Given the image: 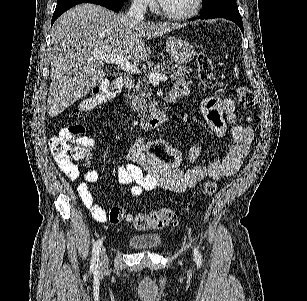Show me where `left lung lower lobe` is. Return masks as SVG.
Wrapping results in <instances>:
<instances>
[{
	"mask_svg": "<svg viewBox=\"0 0 307 301\" xmlns=\"http://www.w3.org/2000/svg\"><path fill=\"white\" fill-rule=\"evenodd\" d=\"M199 18L200 19L225 18V19L231 20L234 23H236L240 27L241 31L244 33L242 18H233V17H203V16H200Z\"/></svg>",
	"mask_w": 307,
	"mask_h": 301,
	"instance_id": "1",
	"label": "left lung lower lobe"
}]
</instances>
